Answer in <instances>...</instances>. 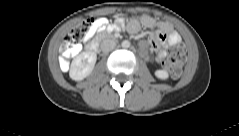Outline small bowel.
Masks as SVG:
<instances>
[{
	"instance_id": "c3829d8e",
	"label": "small bowel",
	"mask_w": 239,
	"mask_h": 136,
	"mask_svg": "<svg viewBox=\"0 0 239 136\" xmlns=\"http://www.w3.org/2000/svg\"><path fill=\"white\" fill-rule=\"evenodd\" d=\"M125 27L122 19H117L114 24H108L105 19H97L96 24L90 34L87 36L88 40L97 30L106 29L108 31H117ZM156 30L149 35V43L156 51L157 61L162 63L167 57V52L162 45H176L181 42L180 35L173 31L171 25L167 22H157L150 16H143L139 22H130L126 28L132 35H138L141 28Z\"/></svg>"
}]
</instances>
